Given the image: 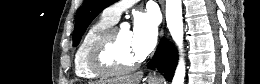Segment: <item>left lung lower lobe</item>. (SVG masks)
Returning <instances> with one entry per match:
<instances>
[{"instance_id": "1", "label": "left lung lower lobe", "mask_w": 260, "mask_h": 84, "mask_svg": "<svg viewBox=\"0 0 260 84\" xmlns=\"http://www.w3.org/2000/svg\"><path fill=\"white\" fill-rule=\"evenodd\" d=\"M177 52L172 44L162 39L148 67L157 66L164 77L171 81L177 65Z\"/></svg>"}]
</instances>
